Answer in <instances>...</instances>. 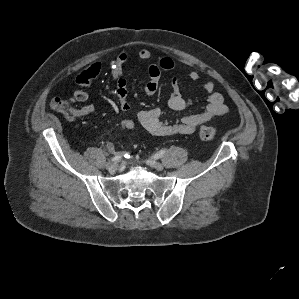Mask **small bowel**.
<instances>
[{"mask_svg": "<svg viewBox=\"0 0 299 299\" xmlns=\"http://www.w3.org/2000/svg\"><path fill=\"white\" fill-rule=\"evenodd\" d=\"M137 58L140 61H148L149 81L145 85L147 95L156 93L159 87V80L163 72L170 71L174 68V61L170 57L155 58L153 53L148 49H142L138 52ZM130 61L126 53H120L113 61L111 66V77L116 82L115 94L118 100L119 108L122 112L130 110V104L127 100V83L123 77V66ZM100 64L94 63L84 70L77 79L80 86L86 87L90 81L100 73ZM189 78L192 81L199 79L197 71H191ZM172 93L168 98V106L174 111H182L191 105V100L187 99L179 87L177 77L172 78ZM204 90L208 94V103L205 109L199 113L184 116L176 123H171L164 119V113L159 108L141 110L136 114L137 122L151 135L154 136H171V135H188L195 132L197 127L205 122L210 121L216 116L227 113L228 107L225 104L224 97L221 93L214 91V84L207 82ZM74 99L77 102H85L88 94L85 89L81 88L74 92ZM94 107L85 105L81 108V113L86 115L92 113ZM109 151H114L115 147L112 142L106 143Z\"/></svg>", "mask_w": 299, "mask_h": 299, "instance_id": "obj_1", "label": "small bowel"}]
</instances>
